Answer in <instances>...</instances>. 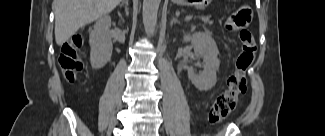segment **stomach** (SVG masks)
Listing matches in <instances>:
<instances>
[{
  "mask_svg": "<svg viewBox=\"0 0 325 136\" xmlns=\"http://www.w3.org/2000/svg\"><path fill=\"white\" fill-rule=\"evenodd\" d=\"M174 3L178 5H184V6H193L197 8H204L211 0H173Z\"/></svg>",
  "mask_w": 325,
  "mask_h": 136,
  "instance_id": "1",
  "label": "stomach"
}]
</instances>
